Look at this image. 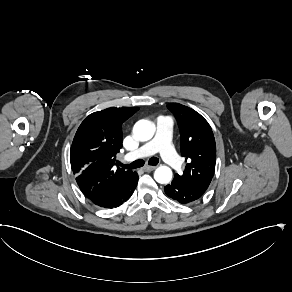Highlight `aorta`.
<instances>
[{"label": "aorta", "mask_w": 292, "mask_h": 292, "mask_svg": "<svg viewBox=\"0 0 292 292\" xmlns=\"http://www.w3.org/2000/svg\"><path fill=\"white\" fill-rule=\"evenodd\" d=\"M154 126L147 120L138 121L134 128V135L141 141H148L154 135ZM172 169L167 165H160L154 173V178L157 182L165 184L169 183L172 179Z\"/></svg>", "instance_id": "1"}]
</instances>
